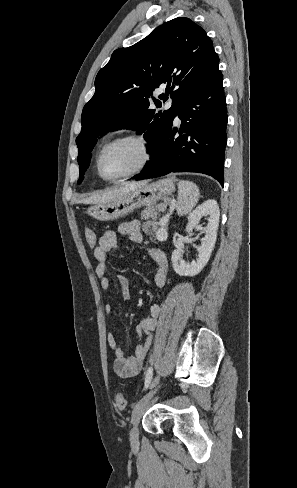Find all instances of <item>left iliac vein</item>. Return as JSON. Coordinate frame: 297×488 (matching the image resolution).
<instances>
[{"label":"left iliac vein","mask_w":297,"mask_h":488,"mask_svg":"<svg viewBox=\"0 0 297 488\" xmlns=\"http://www.w3.org/2000/svg\"><path fill=\"white\" fill-rule=\"evenodd\" d=\"M158 387H159L158 382L153 381L151 384V390L140 399V401L135 405L132 411L131 423L133 425V428L130 431V442L133 449L137 448L139 445L138 424L141 420V417L147 405L149 404L151 398L156 393Z\"/></svg>","instance_id":"4c4485c4"}]
</instances>
